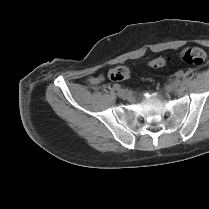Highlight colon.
<instances>
[{"label":"colon","mask_w":209,"mask_h":209,"mask_svg":"<svg viewBox=\"0 0 209 209\" xmlns=\"http://www.w3.org/2000/svg\"><path fill=\"white\" fill-rule=\"evenodd\" d=\"M206 58H207L206 52L202 48H199V47L186 48L180 53V59L183 62L187 64L195 65V66L203 65L206 61ZM166 63H167V59L158 57V58L152 59L149 62V66L152 68L158 69V68H162L163 66H165ZM129 75H130V71L125 66L115 67L109 71V78L112 81H117V82L124 81L129 77Z\"/></svg>","instance_id":"obj_1"}]
</instances>
